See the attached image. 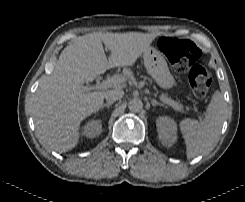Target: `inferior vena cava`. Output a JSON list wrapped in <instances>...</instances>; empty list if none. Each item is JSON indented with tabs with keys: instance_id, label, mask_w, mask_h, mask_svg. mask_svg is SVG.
Listing matches in <instances>:
<instances>
[{
	"instance_id": "obj_1",
	"label": "inferior vena cava",
	"mask_w": 245,
	"mask_h": 202,
	"mask_svg": "<svg viewBox=\"0 0 245 202\" xmlns=\"http://www.w3.org/2000/svg\"><path fill=\"white\" fill-rule=\"evenodd\" d=\"M124 96V91L121 88H115L106 92L105 98L108 102H114Z\"/></svg>"
}]
</instances>
